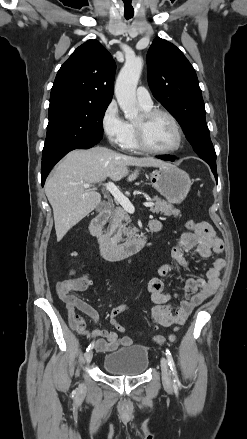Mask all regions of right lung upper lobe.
<instances>
[{
    "mask_svg": "<svg viewBox=\"0 0 247 439\" xmlns=\"http://www.w3.org/2000/svg\"><path fill=\"white\" fill-rule=\"evenodd\" d=\"M115 69L110 53L97 40H88L59 69L51 89L50 105L67 101L109 104Z\"/></svg>",
    "mask_w": 247,
    "mask_h": 439,
    "instance_id": "right-lung-upper-lobe-1",
    "label": "right lung upper lobe"
}]
</instances>
